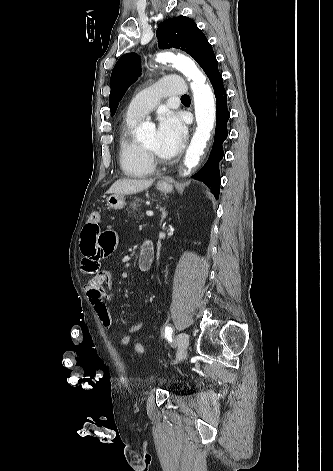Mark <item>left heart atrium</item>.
Returning a JSON list of instances; mask_svg holds the SVG:
<instances>
[{
	"mask_svg": "<svg viewBox=\"0 0 333 471\" xmlns=\"http://www.w3.org/2000/svg\"><path fill=\"white\" fill-rule=\"evenodd\" d=\"M158 151L164 157L178 154L185 142L186 131L182 120L173 112L164 111L159 115L157 131Z\"/></svg>",
	"mask_w": 333,
	"mask_h": 471,
	"instance_id": "obj_1",
	"label": "left heart atrium"
}]
</instances>
